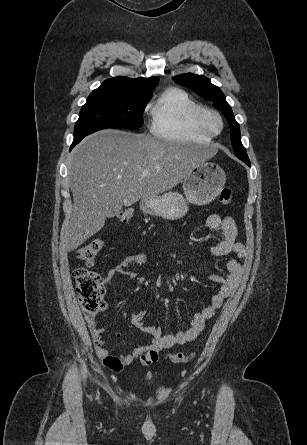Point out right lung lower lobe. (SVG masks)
Wrapping results in <instances>:
<instances>
[{
    "mask_svg": "<svg viewBox=\"0 0 307 445\" xmlns=\"http://www.w3.org/2000/svg\"><path fill=\"white\" fill-rule=\"evenodd\" d=\"M81 140H82V138H74V141H73V143H72V145H71L70 150H71L76 144H78Z\"/></svg>",
    "mask_w": 307,
    "mask_h": 445,
    "instance_id": "right-lung-lower-lobe-1",
    "label": "right lung lower lobe"
}]
</instances>
